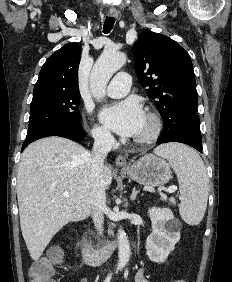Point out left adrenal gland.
I'll return each mask as SVG.
<instances>
[{
  "instance_id": "1",
  "label": "left adrenal gland",
  "mask_w": 232,
  "mask_h": 282,
  "mask_svg": "<svg viewBox=\"0 0 232 282\" xmlns=\"http://www.w3.org/2000/svg\"><path fill=\"white\" fill-rule=\"evenodd\" d=\"M139 193V191L136 190V188L134 187L133 190H132V194H131V201H134L137 197V194Z\"/></svg>"
}]
</instances>
